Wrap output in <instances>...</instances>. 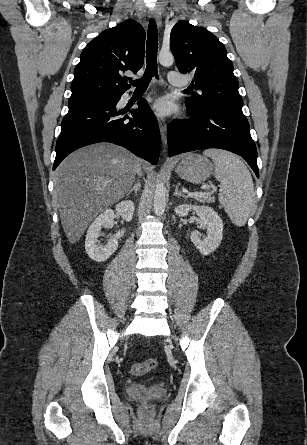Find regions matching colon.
I'll list each match as a JSON object with an SVG mask.
<instances>
[{
    "instance_id": "5ec220e1",
    "label": "colon",
    "mask_w": 307,
    "mask_h": 445,
    "mask_svg": "<svg viewBox=\"0 0 307 445\" xmlns=\"http://www.w3.org/2000/svg\"><path fill=\"white\" fill-rule=\"evenodd\" d=\"M157 367L156 359H148L144 362L135 363L131 367V372L134 375H144Z\"/></svg>"
}]
</instances>
